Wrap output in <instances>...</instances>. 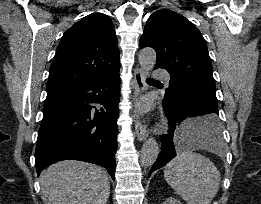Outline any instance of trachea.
Masks as SVG:
<instances>
[{
  "mask_svg": "<svg viewBox=\"0 0 261 204\" xmlns=\"http://www.w3.org/2000/svg\"><path fill=\"white\" fill-rule=\"evenodd\" d=\"M147 81H148V82H151V81H155V80L152 79V78H148Z\"/></svg>",
  "mask_w": 261,
  "mask_h": 204,
  "instance_id": "1",
  "label": "trachea"
}]
</instances>
